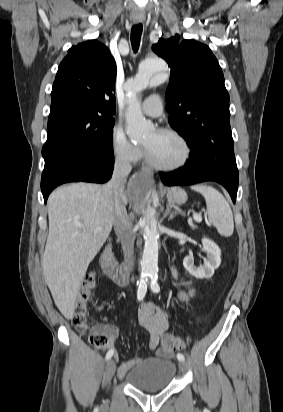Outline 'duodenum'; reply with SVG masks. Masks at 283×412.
Here are the masks:
<instances>
[{
    "mask_svg": "<svg viewBox=\"0 0 283 412\" xmlns=\"http://www.w3.org/2000/svg\"><path fill=\"white\" fill-rule=\"evenodd\" d=\"M104 273L117 285H125L131 279V271L127 266H121L112 256L109 248H106L100 258Z\"/></svg>",
    "mask_w": 283,
    "mask_h": 412,
    "instance_id": "410a0bca",
    "label": "duodenum"
}]
</instances>
